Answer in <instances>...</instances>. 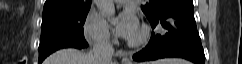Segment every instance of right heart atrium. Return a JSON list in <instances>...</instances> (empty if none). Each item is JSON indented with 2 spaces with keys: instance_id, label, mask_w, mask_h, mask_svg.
Listing matches in <instances>:
<instances>
[{
  "instance_id": "obj_1",
  "label": "right heart atrium",
  "mask_w": 242,
  "mask_h": 64,
  "mask_svg": "<svg viewBox=\"0 0 242 64\" xmlns=\"http://www.w3.org/2000/svg\"><path fill=\"white\" fill-rule=\"evenodd\" d=\"M82 30L84 37L92 44L107 45L112 40L106 20L93 10L86 15Z\"/></svg>"
}]
</instances>
